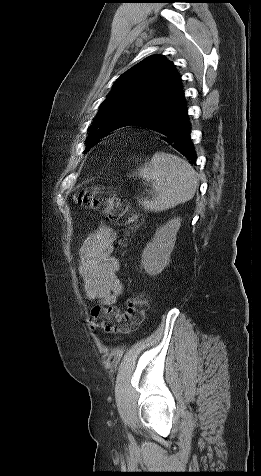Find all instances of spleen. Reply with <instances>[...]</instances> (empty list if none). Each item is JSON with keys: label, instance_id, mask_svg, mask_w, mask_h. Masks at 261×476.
<instances>
[{"label": "spleen", "instance_id": "spleen-1", "mask_svg": "<svg viewBox=\"0 0 261 476\" xmlns=\"http://www.w3.org/2000/svg\"><path fill=\"white\" fill-rule=\"evenodd\" d=\"M145 182L152 184L154 197L141 198L145 210L161 212L191 200L198 185L197 173L184 159L165 152H156L138 172Z\"/></svg>", "mask_w": 261, "mask_h": 476}]
</instances>
